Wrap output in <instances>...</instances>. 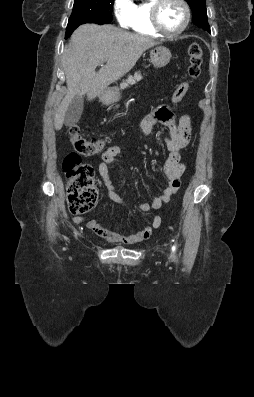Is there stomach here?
<instances>
[{"instance_id": "1", "label": "stomach", "mask_w": 254, "mask_h": 397, "mask_svg": "<svg viewBox=\"0 0 254 397\" xmlns=\"http://www.w3.org/2000/svg\"><path fill=\"white\" fill-rule=\"evenodd\" d=\"M150 58L152 64L156 68H161L166 66L171 58V52L168 48L164 46H158L150 51ZM120 99V94L117 89L108 90L100 94V100L108 105L114 103Z\"/></svg>"}]
</instances>
